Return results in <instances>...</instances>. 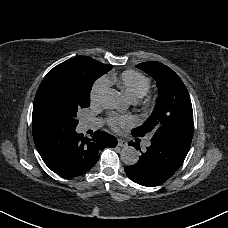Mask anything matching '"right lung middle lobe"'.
<instances>
[{
  "mask_svg": "<svg viewBox=\"0 0 228 228\" xmlns=\"http://www.w3.org/2000/svg\"><path fill=\"white\" fill-rule=\"evenodd\" d=\"M112 67L100 64L79 77L51 70L41 82L35 96L33 131L75 129L78 110L90 105V91L94 81Z\"/></svg>",
  "mask_w": 228,
  "mask_h": 228,
  "instance_id": "obj_1",
  "label": "right lung middle lobe"
}]
</instances>
